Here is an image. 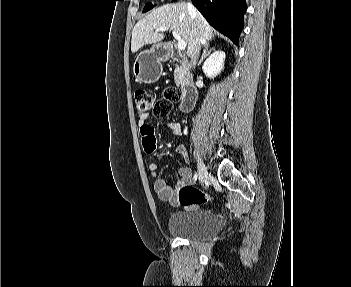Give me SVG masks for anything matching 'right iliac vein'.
Listing matches in <instances>:
<instances>
[{
	"label": "right iliac vein",
	"mask_w": 351,
	"mask_h": 287,
	"mask_svg": "<svg viewBox=\"0 0 351 287\" xmlns=\"http://www.w3.org/2000/svg\"><path fill=\"white\" fill-rule=\"evenodd\" d=\"M198 176L201 182H204V180L208 177L207 168L201 158L198 159Z\"/></svg>",
	"instance_id": "right-iliac-vein-1"
}]
</instances>
